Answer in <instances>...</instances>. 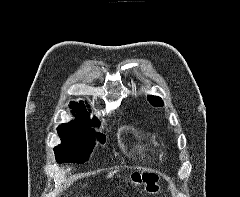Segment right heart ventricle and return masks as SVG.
I'll return each instance as SVG.
<instances>
[{
	"label": "right heart ventricle",
	"instance_id": "1",
	"mask_svg": "<svg viewBox=\"0 0 240 197\" xmlns=\"http://www.w3.org/2000/svg\"><path fill=\"white\" fill-rule=\"evenodd\" d=\"M136 147L142 155H149L152 152L151 145L145 141H139Z\"/></svg>",
	"mask_w": 240,
	"mask_h": 197
}]
</instances>
